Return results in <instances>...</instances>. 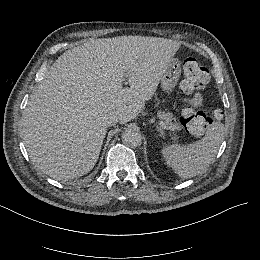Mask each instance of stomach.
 <instances>
[{"label": "stomach", "mask_w": 260, "mask_h": 260, "mask_svg": "<svg viewBox=\"0 0 260 260\" xmlns=\"http://www.w3.org/2000/svg\"><path fill=\"white\" fill-rule=\"evenodd\" d=\"M167 68L161 77V87L163 91L171 93L180 78L182 63L179 59L172 58L168 61Z\"/></svg>", "instance_id": "obj_1"}]
</instances>
